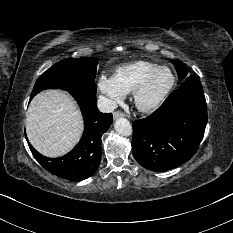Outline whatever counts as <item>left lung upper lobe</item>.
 Here are the masks:
<instances>
[{
    "label": "left lung upper lobe",
    "instance_id": "left-lung-upper-lobe-1",
    "mask_svg": "<svg viewBox=\"0 0 233 233\" xmlns=\"http://www.w3.org/2000/svg\"><path fill=\"white\" fill-rule=\"evenodd\" d=\"M172 63L174 64L177 70L179 79L182 80L186 78L187 73H188V68L186 67V65L179 61H172Z\"/></svg>",
    "mask_w": 233,
    "mask_h": 233
}]
</instances>
